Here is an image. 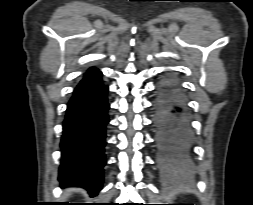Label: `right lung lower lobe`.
I'll use <instances>...</instances> for the list:
<instances>
[{"mask_svg":"<svg viewBox=\"0 0 253 205\" xmlns=\"http://www.w3.org/2000/svg\"><path fill=\"white\" fill-rule=\"evenodd\" d=\"M102 73L91 67L75 88L67 105L61 140L59 181L97 195L103 184L106 126L109 122L108 87Z\"/></svg>","mask_w":253,"mask_h":205,"instance_id":"obj_1","label":"right lung lower lobe"}]
</instances>
